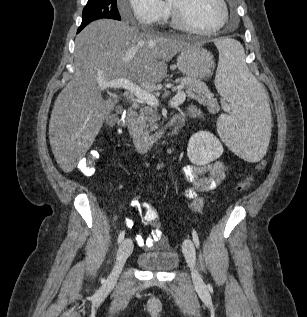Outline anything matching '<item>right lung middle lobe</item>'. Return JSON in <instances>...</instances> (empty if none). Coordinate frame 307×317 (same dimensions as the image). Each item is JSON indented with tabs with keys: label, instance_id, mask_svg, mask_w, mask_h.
<instances>
[{
	"label": "right lung middle lobe",
	"instance_id": "right-lung-middle-lobe-1",
	"mask_svg": "<svg viewBox=\"0 0 307 317\" xmlns=\"http://www.w3.org/2000/svg\"><path fill=\"white\" fill-rule=\"evenodd\" d=\"M101 18L121 20L117 0H88L83 9L80 27L84 28L90 22Z\"/></svg>",
	"mask_w": 307,
	"mask_h": 317
}]
</instances>
